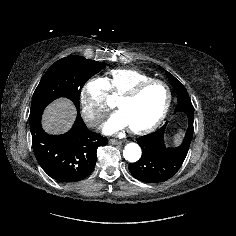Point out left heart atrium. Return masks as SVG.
Returning a JSON list of instances; mask_svg holds the SVG:
<instances>
[{
	"label": "left heart atrium",
	"mask_w": 236,
	"mask_h": 236,
	"mask_svg": "<svg viewBox=\"0 0 236 236\" xmlns=\"http://www.w3.org/2000/svg\"><path fill=\"white\" fill-rule=\"evenodd\" d=\"M128 127L125 116L119 111L113 114L103 125L102 131L107 135H112Z\"/></svg>",
	"instance_id": "left-heart-atrium-1"
}]
</instances>
